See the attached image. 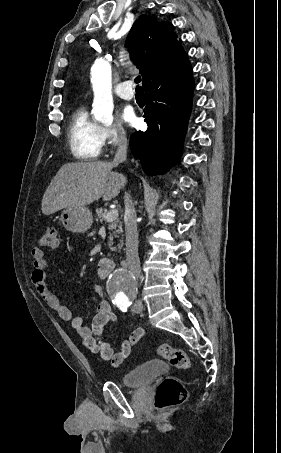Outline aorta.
Masks as SVG:
<instances>
[{
	"instance_id": "1",
	"label": "aorta",
	"mask_w": 281,
	"mask_h": 453,
	"mask_svg": "<svg viewBox=\"0 0 281 453\" xmlns=\"http://www.w3.org/2000/svg\"><path fill=\"white\" fill-rule=\"evenodd\" d=\"M91 83L94 92L93 114L104 124L113 122V97L111 65L104 59H97L91 68ZM136 279L131 272L116 269L108 278L107 291L118 305L128 303L134 294Z\"/></svg>"
}]
</instances>
